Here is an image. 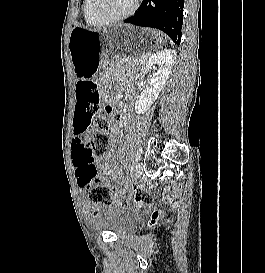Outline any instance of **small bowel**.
Instances as JSON below:
<instances>
[{
	"label": "small bowel",
	"instance_id": "small-bowel-1",
	"mask_svg": "<svg viewBox=\"0 0 265 273\" xmlns=\"http://www.w3.org/2000/svg\"><path fill=\"white\" fill-rule=\"evenodd\" d=\"M111 114L115 113V108L112 104L107 106ZM118 130V124L113 123L108 131L110 136H114ZM78 135H81V138H78ZM88 132H75L71 140V164L74 171V175L79 185V175L82 171L94 168L96 173L99 172L101 178H110L113 177L112 170L109 164L106 162V158L113 155V151L110 150L105 155L96 158H87L85 151L87 150V138ZM80 186V185H79ZM84 212L87 216L97 215V209L87 205L84 208Z\"/></svg>",
	"mask_w": 265,
	"mask_h": 273
}]
</instances>
